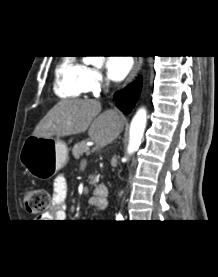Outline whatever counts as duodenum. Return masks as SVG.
I'll use <instances>...</instances> for the list:
<instances>
[{
	"label": "duodenum",
	"instance_id": "duodenum-1",
	"mask_svg": "<svg viewBox=\"0 0 218 277\" xmlns=\"http://www.w3.org/2000/svg\"><path fill=\"white\" fill-rule=\"evenodd\" d=\"M108 188L104 184H100L94 189V197L92 199V204L99 207L104 208L106 206L107 198H108Z\"/></svg>",
	"mask_w": 218,
	"mask_h": 277
}]
</instances>
